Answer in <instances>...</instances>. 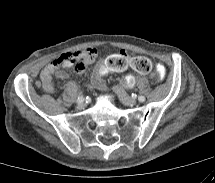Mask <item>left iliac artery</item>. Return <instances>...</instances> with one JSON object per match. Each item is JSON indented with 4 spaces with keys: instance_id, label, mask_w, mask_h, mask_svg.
<instances>
[{
    "instance_id": "obj_1",
    "label": "left iliac artery",
    "mask_w": 215,
    "mask_h": 183,
    "mask_svg": "<svg viewBox=\"0 0 215 183\" xmlns=\"http://www.w3.org/2000/svg\"><path fill=\"white\" fill-rule=\"evenodd\" d=\"M138 100H139L140 102H144V101H145V97L141 95V96L138 97Z\"/></svg>"
}]
</instances>
